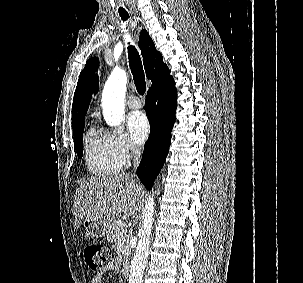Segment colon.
I'll list each match as a JSON object with an SVG mask.
<instances>
[{
	"instance_id": "1",
	"label": "colon",
	"mask_w": 303,
	"mask_h": 283,
	"mask_svg": "<svg viewBox=\"0 0 303 283\" xmlns=\"http://www.w3.org/2000/svg\"><path fill=\"white\" fill-rule=\"evenodd\" d=\"M82 257L92 271H99L109 260L110 250L100 243H88L83 247Z\"/></svg>"
}]
</instances>
